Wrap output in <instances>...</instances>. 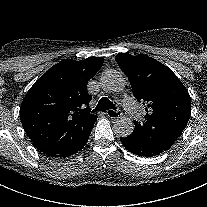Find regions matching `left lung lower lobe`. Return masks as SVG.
<instances>
[{"instance_id":"left-lung-lower-lobe-1","label":"left lung lower lobe","mask_w":207,"mask_h":207,"mask_svg":"<svg viewBox=\"0 0 207 207\" xmlns=\"http://www.w3.org/2000/svg\"><path fill=\"white\" fill-rule=\"evenodd\" d=\"M120 140L128 151L138 156L152 157L166 151L139 134L120 137Z\"/></svg>"}]
</instances>
